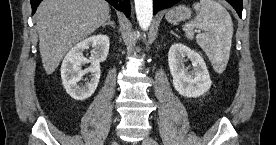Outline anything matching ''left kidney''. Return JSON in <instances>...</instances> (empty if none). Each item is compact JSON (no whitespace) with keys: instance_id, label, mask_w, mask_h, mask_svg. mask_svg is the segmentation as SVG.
Segmentation results:
<instances>
[{"instance_id":"obj_1","label":"left kidney","mask_w":276,"mask_h":145,"mask_svg":"<svg viewBox=\"0 0 276 145\" xmlns=\"http://www.w3.org/2000/svg\"><path fill=\"white\" fill-rule=\"evenodd\" d=\"M186 59L192 63L191 71L184 66ZM168 64L173 86L180 95L196 98L210 89L212 82L203 58L184 44L175 43L170 47Z\"/></svg>"}]
</instances>
